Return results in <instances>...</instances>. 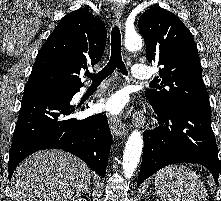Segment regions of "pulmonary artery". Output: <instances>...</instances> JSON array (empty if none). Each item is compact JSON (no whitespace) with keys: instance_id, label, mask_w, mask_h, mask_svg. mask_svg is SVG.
Masks as SVG:
<instances>
[{"instance_id":"pulmonary-artery-1","label":"pulmonary artery","mask_w":221,"mask_h":201,"mask_svg":"<svg viewBox=\"0 0 221 201\" xmlns=\"http://www.w3.org/2000/svg\"><path fill=\"white\" fill-rule=\"evenodd\" d=\"M152 77V71L145 65L135 64L132 67V78L137 81L148 80Z\"/></svg>"}]
</instances>
